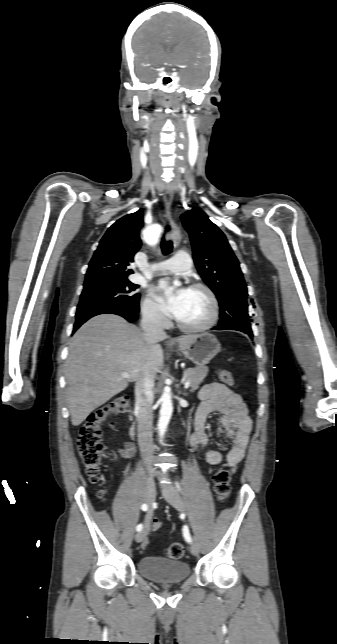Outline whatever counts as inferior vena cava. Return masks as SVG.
I'll return each instance as SVG.
<instances>
[{
	"label": "inferior vena cava",
	"mask_w": 337,
	"mask_h": 644,
	"mask_svg": "<svg viewBox=\"0 0 337 644\" xmlns=\"http://www.w3.org/2000/svg\"><path fill=\"white\" fill-rule=\"evenodd\" d=\"M160 320L161 315L156 311H148L143 314L141 328L148 343H152L157 339H163L166 337L160 324ZM153 387L154 378L150 374L145 378L138 380L135 385V410L137 412L138 421V443L149 473L155 472L152 468L154 451L152 438Z\"/></svg>",
	"instance_id": "1"
}]
</instances>
